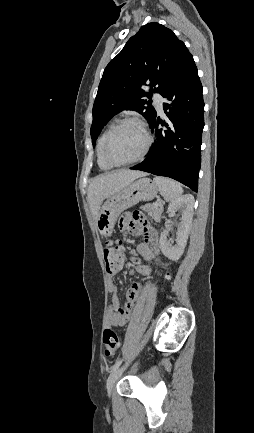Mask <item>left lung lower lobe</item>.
Listing matches in <instances>:
<instances>
[{
	"label": "left lung lower lobe",
	"mask_w": 254,
	"mask_h": 433,
	"mask_svg": "<svg viewBox=\"0 0 254 433\" xmlns=\"http://www.w3.org/2000/svg\"><path fill=\"white\" fill-rule=\"evenodd\" d=\"M161 95L169 101L163 104L167 119L154 117L150 123L154 145L147 158L130 169L173 178L197 192L204 102L202 85L189 51ZM159 124L164 128H159Z\"/></svg>",
	"instance_id": "left-lung-lower-lobe-1"
}]
</instances>
